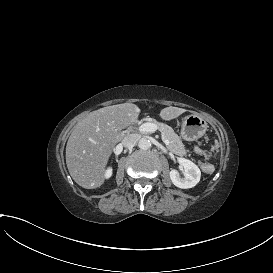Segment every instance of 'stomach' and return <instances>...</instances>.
<instances>
[{"label":"stomach","instance_id":"stomach-1","mask_svg":"<svg viewBox=\"0 0 273 273\" xmlns=\"http://www.w3.org/2000/svg\"><path fill=\"white\" fill-rule=\"evenodd\" d=\"M206 120L199 115H189L183 119L180 137L184 141H195L203 137L207 131Z\"/></svg>","mask_w":273,"mask_h":273}]
</instances>
